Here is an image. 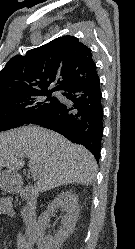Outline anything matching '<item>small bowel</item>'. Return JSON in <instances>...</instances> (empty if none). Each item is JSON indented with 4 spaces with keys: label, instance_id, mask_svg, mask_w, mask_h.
<instances>
[{
    "label": "small bowel",
    "instance_id": "1",
    "mask_svg": "<svg viewBox=\"0 0 135 249\" xmlns=\"http://www.w3.org/2000/svg\"><path fill=\"white\" fill-rule=\"evenodd\" d=\"M0 213L6 214L11 219H16V213L12 207V204L7 200L0 201ZM34 226L27 227L25 233L18 234L17 249H32L34 244Z\"/></svg>",
    "mask_w": 135,
    "mask_h": 249
}]
</instances>
